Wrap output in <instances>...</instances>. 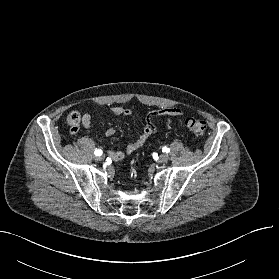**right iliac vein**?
<instances>
[{
  "instance_id": "right-iliac-vein-1",
  "label": "right iliac vein",
  "mask_w": 279,
  "mask_h": 279,
  "mask_svg": "<svg viewBox=\"0 0 279 279\" xmlns=\"http://www.w3.org/2000/svg\"><path fill=\"white\" fill-rule=\"evenodd\" d=\"M104 156H97L96 158H95V160H97V161H103L104 160Z\"/></svg>"
}]
</instances>
